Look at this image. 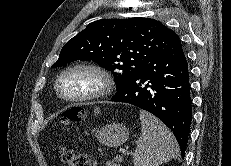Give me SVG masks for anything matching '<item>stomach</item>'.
Here are the masks:
<instances>
[{"mask_svg": "<svg viewBox=\"0 0 231 166\" xmlns=\"http://www.w3.org/2000/svg\"><path fill=\"white\" fill-rule=\"evenodd\" d=\"M95 136L108 147H119L129 138V129L121 123H112L105 125Z\"/></svg>", "mask_w": 231, "mask_h": 166, "instance_id": "1", "label": "stomach"}]
</instances>
